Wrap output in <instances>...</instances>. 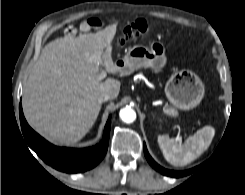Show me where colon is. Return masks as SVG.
Wrapping results in <instances>:
<instances>
[{
    "label": "colon",
    "mask_w": 245,
    "mask_h": 195,
    "mask_svg": "<svg viewBox=\"0 0 245 195\" xmlns=\"http://www.w3.org/2000/svg\"><path fill=\"white\" fill-rule=\"evenodd\" d=\"M147 31V24L144 20H136L126 27L119 40L120 45L133 40Z\"/></svg>",
    "instance_id": "colon-1"
}]
</instances>
